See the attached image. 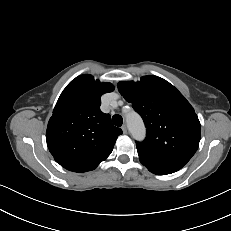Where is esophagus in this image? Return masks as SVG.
I'll return each mask as SVG.
<instances>
[{"instance_id": "1", "label": "esophagus", "mask_w": 231, "mask_h": 231, "mask_svg": "<svg viewBox=\"0 0 231 231\" xmlns=\"http://www.w3.org/2000/svg\"><path fill=\"white\" fill-rule=\"evenodd\" d=\"M121 128H122L123 133L127 134V127H126V125H123Z\"/></svg>"}]
</instances>
